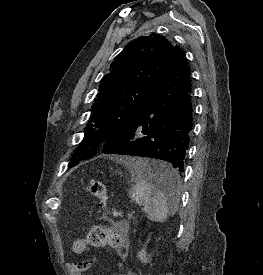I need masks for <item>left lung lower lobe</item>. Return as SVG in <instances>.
Listing matches in <instances>:
<instances>
[{
	"label": "left lung lower lobe",
	"mask_w": 263,
	"mask_h": 275,
	"mask_svg": "<svg viewBox=\"0 0 263 275\" xmlns=\"http://www.w3.org/2000/svg\"><path fill=\"white\" fill-rule=\"evenodd\" d=\"M194 119L190 69L179 48L164 79L128 127L102 149L105 154L149 157L168 162L170 170H144L149 180L171 194L184 163Z\"/></svg>",
	"instance_id": "obj_1"
}]
</instances>
